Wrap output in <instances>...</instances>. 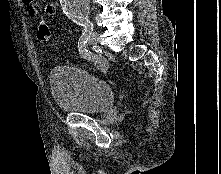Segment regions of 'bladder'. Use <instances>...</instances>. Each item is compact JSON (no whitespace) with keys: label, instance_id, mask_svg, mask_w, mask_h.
Masks as SVG:
<instances>
[{"label":"bladder","instance_id":"obj_1","mask_svg":"<svg viewBox=\"0 0 221 174\" xmlns=\"http://www.w3.org/2000/svg\"><path fill=\"white\" fill-rule=\"evenodd\" d=\"M49 85L57 108L65 113H102L115 97L106 81L77 67H55L49 74Z\"/></svg>","mask_w":221,"mask_h":174}]
</instances>
